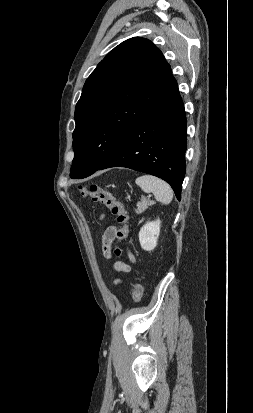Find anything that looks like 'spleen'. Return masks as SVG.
Returning a JSON list of instances; mask_svg holds the SVG:
<instances>
[{"label":"spleen","mask_w":253,"mask_h":413,"mask_svg":"<svg viewBox=\"0 0 253 413\" xmlns=\"http://www.w3.org/2000/svg\"><path fill=\"white\" fill-rule=\"evenodd\" d=\"M136 184L140 186L144 192L153 193L155 199L164 205L169 204L173 198V191L170 185L155 176H139L136 178Z\"/></svg>","instance_id":"obj_1"}]
</instances>
